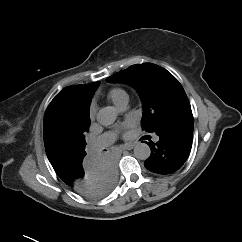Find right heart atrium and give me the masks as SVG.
<instances>
[{"label":"right heart atrium","mask_w":242,"mask_h":242,"mask_svg":"<svg viewBox=\"0 0 242 242\" xmlns=\"http://www.w3.org/2000/svg\"><path fill=\"white\" fill-rule=\"evenodd\" d=\"M95 115V107L93 105L90 106L89 108V116L93 118Z\"/></svg>","instance_id":"obj_1"}]
</instances>
